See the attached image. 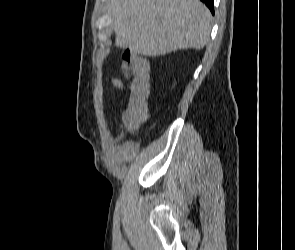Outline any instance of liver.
Segmentation results:
<instances>
[{
    "mask_svg": "<svg viewBox=\"0 0 295 250\" xmlns=\"http://www.w3.org/2000/svg\"><path fill=\"white\" fill-rule=\"evenodd\" d=\"M116 45L144 56L201 49L212 15L199 0H111Z\"/></svg>",
    "mask_w": 295,
    "mask_h": 250,
    "instance_id": "obj_1",
    "label": "liver"
}]
</instances>
